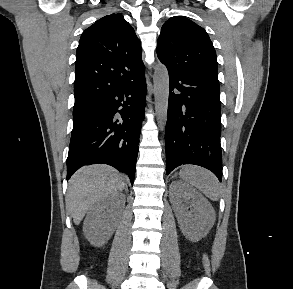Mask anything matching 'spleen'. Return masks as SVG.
Wrapping results in <instances>:
<instances>
[{"label": "spleen", "instance_id": "spleen-1", "mask_svg": "<svg viewBox=\"0 0 293 289\" xmlns=\"http://www.w3.org/2000/svg\"><path fill=\"white\" fill-rule=\"evenodd\" d=\"M182 180L199 189L207 198L217 201L220 196V186L216 176L199 166H183L179 172Z\"/></svg>", "mask_w": 293, "mask_h": 289}]
</instances>
